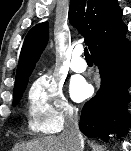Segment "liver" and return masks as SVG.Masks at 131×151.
I'll use <instances>...</instances> for the list:
<instances>
[{
  "instance_id": "6515ba94",
  "label": "liver",
  "mask_w": 131,
  "mask_h": 151,
  "mask_svg": "<svg viewBox=\"0 0 131 151\" xmlns=\"http://www.w3.org/2000/svg\"><path fill=\"white\" fill-rule=\"evenodd\" d=\"M73 147L65 138L47 136L28 143L16 145L13 151H73Z\"/></svg>"
}]
</instances>
